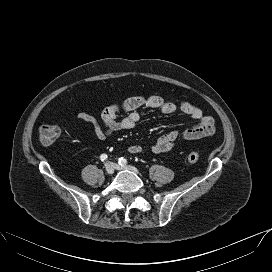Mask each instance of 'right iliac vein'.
Masks as SVG:
<instances>
[{
	"label": "right iliac vein",
	"instance_id": "obj_1",
	"mask_svg": "<svg viewBox=\"0 0 272 272\" xmlns=\"http://www.w3.org/2000/svg\"><path fill=\"white\" fill-rule=\"evenodd\" d=\"M105 171H106L107 174L112 175L114 173V168L112 167V165L107 163L105 165Z\"/></svg>",
	"mask_w": 272,
	"mask_h": 272
}]
</instances>
